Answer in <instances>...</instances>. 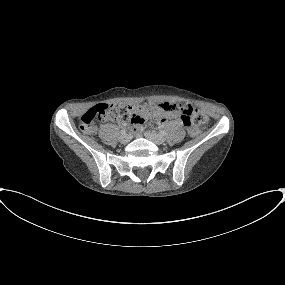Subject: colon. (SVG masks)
<instances>
[{
	"mask_svg": "<svg viewBox=\"0 0 285 285\" xmlns=\"http://www.w3.org/2000/svg\"><path fill=\"white\" fill-rule=\"evenodd\" d=\"M157 109V104L117 105L101 103L87 109L80 118V129L86 134L96 130V121L135 122L137 118ZM174 110L180 114L183 123L194 133L196 125L207 123L208 116L190 104H176Z\"/></svg>",
	"mask_w": 285,
	"mask_h": 285,
	"instance_id": "1",
	"label": "colon"
}]
</instances>
